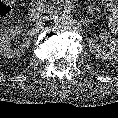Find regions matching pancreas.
I'll use <instances>...</instances> for the list:
<instances>
[{
  "instance_id": "pancreas-1",
  "label": "pancreas",
  "mask_w": 118,
  "mask_h": 118,
  "mask_svg": "<svg viewBox=\"0 0 118 118\" xmlns=\"http://www.w3.org/2000/svg\"><path fill=\"white\" fill-rule=\"evenodd\" d=\"M52 7L51 4H45L42 6L46 11H50ZM85 8L100 20L110 21L112 19V14L110 12H105L92 1H87L85 3Z\"/></svg>"
}]
</instances>
